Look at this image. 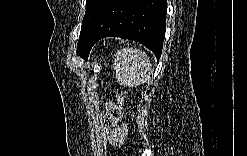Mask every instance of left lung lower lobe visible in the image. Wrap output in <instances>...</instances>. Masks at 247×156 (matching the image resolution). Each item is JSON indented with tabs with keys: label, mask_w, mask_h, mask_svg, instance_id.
<instances>
[{
	"label": "left lung lower lobe",
	"mask_w": 247,
	"mask_h": 156,
	"mask_svg": "<svg viewBox=\"0 0 247 156\" xmlns=\"http://www.w3.org/2000/svg\"><path fill=\"white\" fill-rule=\"evenodd\" d=\"M166 0H105L85 34L81 57L87 59L92 46L108 36L135 40L159 59L166 30Z\"/></svg>",
	"instance_id": "obj_1"
}]
</instances>
